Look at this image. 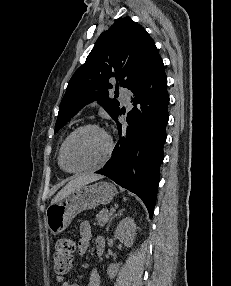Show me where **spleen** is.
Returning a JSON list of instances; mask_svg holds the SVG:
<instances>
[{"instance_id": "spleen-1", "label": "spleen", "mask_w": 231, "mask_h": 286, "mask_svg": "<svg viewBox=\"0 0 231 286\" xmlns=\"http://www.w3.org/2000/svg\"><path fill=\"white\" fill-rule=\"evenodd\" d=\"M123 200L126 201L127 200L126 197H123Z\"/></svg>"}]
</instances>
